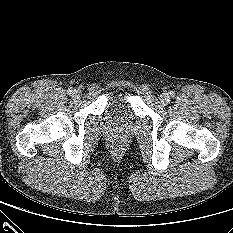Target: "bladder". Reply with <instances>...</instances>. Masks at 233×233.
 <instances>
[{
    "mask_svg": "<svg viewBox=\"0 0 233 233\" xmlns=\"http://www.w3.org/2000/svg\"><path fill=\"white\" fill-rule=\"evenodd\" d=\"M129 103L126 100V94L122 92H118L112 95L109 99V107L110 109H121L127 108Z\"/></svg>",
    "mask_w": 233,
    "mask_h": 233,
    "instance_id": "bladder-1",
    "label": "bladder"
}]
</instances>
